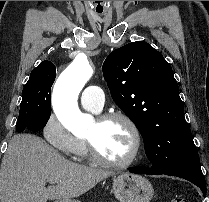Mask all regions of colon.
Wrapping results in <instances>:
<instances>
[{
    "label": "colon",
    "mask_w": 209,
    "mask_h": 202,
    "mask_svg": "<svg viewBox=\"0 0 209 202\" xmlns=\"http://www.w3.org/2000/svg\"><path fill=\"white\" fill-rule=\"evenodd\" d=\"M169 202H189L187 199L182 198V197H176L170 200Z\"/></svg>",
    "instance_id": "colon-1"
}]
</instances>
